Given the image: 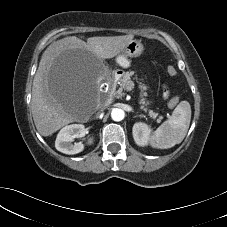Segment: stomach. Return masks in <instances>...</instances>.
Instances as JSON below:
<instances>
[{
    "mask_svg": "<svg viewBox=\"0 0 227 227\" xmlns=\"http://www.w3.org/2000/svg\"><path fill=\"white\" fill-rule=\"evenodd\" d=\"M143 50L144 46L140 40H132L126 45L116 61L121 67L127 68L131 63L129 58L138 57Z\"/></svg>",
    "mask_w": 227,
    "mask_h": 227,
    "instance_id": "stomach-1",
    "label": "stomach"
}]
</instances>
